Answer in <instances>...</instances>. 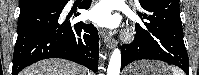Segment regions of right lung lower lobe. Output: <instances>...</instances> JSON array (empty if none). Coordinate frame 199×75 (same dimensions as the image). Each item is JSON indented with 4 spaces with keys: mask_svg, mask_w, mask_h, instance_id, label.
Masks as SVG:
<instances>
[{
    "mask_svg": "<svg viewBox=\"0 0 199 75\" xmlns=\"http://www.w3.org/2000/svg\"><path fill=\"white\" fill-rule=\"evenodd\" d=\"M68 0L19 1L18 37L13 55L12 75L46 58H63L96 71L99 56L98 31L92 24L71 26L61 13ZM91 0L79 8L89 9ZM78 16V14H77Z\"/></svg>",
    "mask_w": 199,
    "mask_h": 75,
    "instance_id": "right-lung-lower-lobe-1",
    "label": "right lung lower lobe"
}]
</instances>
